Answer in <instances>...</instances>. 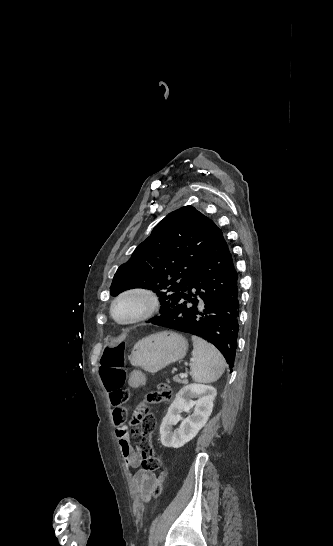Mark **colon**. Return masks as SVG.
I'll return each instance as SVG.
<instances>
[{
	"mask_svg": "<svg viewBox=\"0 0 333 546\" xmlns=\"http://www.w3.org/2000/svg\"><path fill=\"white\" fill-rule=\"evenodd\" d=\"M125 345L122 341L110 342L100 359L99 374L105 389L108 392L120 391L123 387L127 373L125 370ZM172 390L169 386L160 384L157 390L147 395L148 403H158L170 399ZM125 395L122 399L124 401ZM131 440L143 452L142 468L147 471H161L160 476L152 490L154 497L162 490L164 480L163 459L153 449L152 434L156 427V419L150 408L145 404H139L131 420Z\"/></svg>",
	"mask_w": 333,
	"mask_h": 546,
	"instance_id": "colon-1",
	"label": "colon"
}]
</instances>
